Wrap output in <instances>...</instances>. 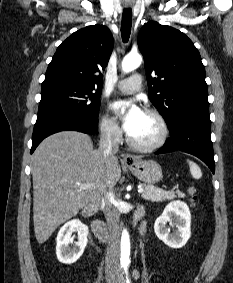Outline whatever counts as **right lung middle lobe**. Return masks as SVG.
<instances>
[{"instance_id": "dd1d6c3e", "label": "right lung middle lobe", "mask_w": 233, "mask_h": 283, "mask_svg": "<svg viewBox=\"0 0 233 283\" xmlns=\"http://www.w3.org/2000/svg\"><path fill=\"white\" fill-rule=\"evenodd\" d=\"M38 114L65 111L96 118L99 114L100 91L66 82L42 83Z\"/></svg>"}]
</instances>
